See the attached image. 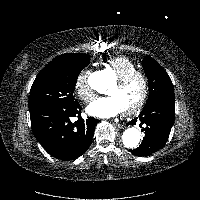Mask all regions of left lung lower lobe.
Masks as SVG:
<instances>
[{
	"label": "left lung lower lobe",
	"mask_w": 200,
	"mask_h": 200,
	"mask_svg": "<svg viewBox=\"0 0 200 200\" xmlns=\"http://www.w3.org/2000/svg\"><path fill=\"white\" fill-rule=\"evenodd\" d=\"M143 128L145 137L141 145L130 152L138 156H149L161 149L167 142L175 119V101L158 100L145 105L137 117ZM137 118L128 122L135 124Z\"/></svg>",
	"instance_id": "left-lung-lower-lobe-1"
}]
</instances>
